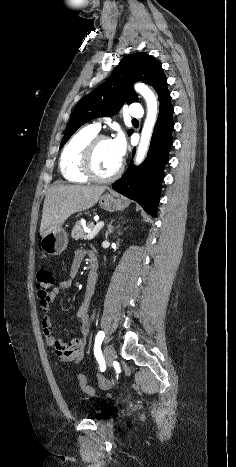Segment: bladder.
<instances>
[{"label":"bladder","mask_w":236,"mask_h":467,"mask_svg":"<svg viewBox=\"0 0 236 467\" xmlns=\"http://www.w3.org/2000/svg\"><path fill=\"white\" fill-rule=\"evenodd\" d=\"M101 414H102L101 412H100V413H98V415H101Z\"/></svg>","instance_id":"bladder-1"}]
</instances>
